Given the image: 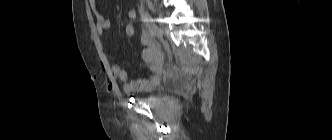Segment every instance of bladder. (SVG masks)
I'll list each match as a JSON object with an SVG mask.
<instances>
[{
    "mask_svg": "<svg viewBox=\"0 0 332 140\" xmlns=\"http://www.w3.org/2000/svg\"><path fill=\"white\" fill-rule=\"evenodd\" d=\"M160 85V79L158 78H153L149 81L147 87L142 90V93L145 95H149L153 92H155Z\"/></svg>",
    "mask_w": 332,
    "mask_h": 140,
    "instance_id": "31cf9c89",
    "label": "bladder"
}]
</instances>
